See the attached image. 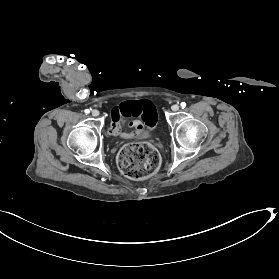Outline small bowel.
Wrapping results in <instances>:
<instances>
[{"label": "small bowel", "instance_id": "obj_1", "mask_svg": "<svg viewBox=\"0 0 279 279\" xmlns=\"http://www.w3.org/2000/svg\"><path fill=\"white\" fill-rule=\"evenodd\" d=\"M132 116L140 117L141 121H129ZM156 120V110L151 102L146 100L125 102L113 108L108 134L120 138H140L155 126ZM126 127L132 128V131L125 133Z\"/></svg>", "mask_w": 279, "mask_h": 279}]
</instances>
